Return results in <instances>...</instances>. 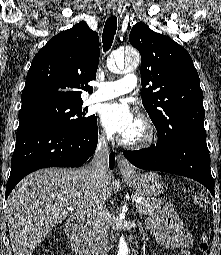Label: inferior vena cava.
Listing matches in <instances>:
<instances>
[{"label":"inferior vena cava","instance_id":"inferior-vena-cava-1","mask_svg":"<svg viewBox=\"0 0 221 255\" xmlns=\"http://www.w3.org/2000/svg\"><path fill=\"white\" fill-rule=\"evenodd\" d=\"M109 149L107 142L102 138L97 145L96 152L88 166L92 180L101 182L108 169ZM87 223L93 234L100 255H108L109 228L104 204H92L87 212Z\"/></svg>","mask_w":221,"mask_h":255}]
</instances>
